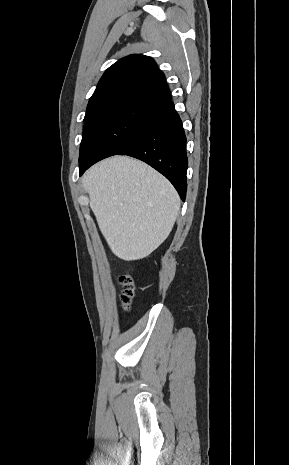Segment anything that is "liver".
Instances as JSON below:
<instances>
[{
	"instance_id": "liver-1",
	"label": "liver",
	"mask_w": 289,
	"mask_h": 465,
	"mask_svg": "<svg viewBox=\"0 0 289 465\" xmlns=\"http://www.w3.org/2000/svg\"><path fill=\"white\" fill-rule=\"evenodd\" d=\"M82 185L111 251L120 259L145 258L169 236L180 210L171 183L146 163L125 156L86 171Z\"/></svg>"
}]
</instances>
